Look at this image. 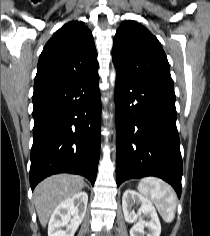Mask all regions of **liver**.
Returning a JSON list of instances; mask_svg holds the SVG:
<instances>
[{"label": "liver", "mask_w": 210, "mask_h": 236, "mask_svg": "<svg viewBox=\"0 0 210 236\" xmlns=\"http://www.w3.org/2000/svg\"><path fill=\"white\" fill-rule=\"evenodd\" d=\"M85 183L77 175L60 174L46 178L34 190V204L42 227L48 223L53 210L64 200L79 193Z\"/></svg>", "instance_id": "obj_1"}]
</instances>
